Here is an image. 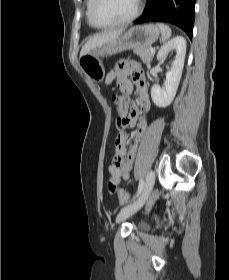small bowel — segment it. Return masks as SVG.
I'll return each instance as SVG.
<instances>
[{"instance_id":"small-bowel-1","label":"small bowel","mask_w":229,"mask_h":280,"mask_svg":"<svg viewBox=\"0 0 229 280\" xmlns=\"http://www.w3.org/2000/svg\"><path fill=\"white\" fill-rule=\"evenodd\" d=\"M107 83L115 82L119 89L124 92L132 90L133 85L136 87L137 98L131 107L129 104H122L118 96H114L116 102L118 115L124 114L129 118L130 123L137 122L136 129L133 133V137L127 152V162L123 169H116L110 167L109 181L118 185L121 181L128 180L130 177V171L132 163L135 157V153L139 144V141L143 137L147 128L146 118H139V115L147 114L150 111V99L148 96L147 81L145 76L141 72L138 65L134 62H129L124 65H119L111 69L107 79ZM128 135L125 132L123 135L118 136L115 140V157H121L124 159L127 149Z\"/></svg>"}]
</instances>
